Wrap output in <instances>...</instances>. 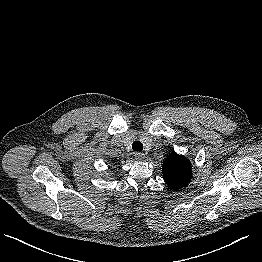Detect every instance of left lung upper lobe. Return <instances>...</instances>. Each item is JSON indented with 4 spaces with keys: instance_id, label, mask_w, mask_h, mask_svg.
<instances>
[{
    "instance_id": "1",
    "label": "left lung upper lobe",
    "mask_w": 262,
    "mask_h": 262,
    "mask_svg": "<svg viewBox=\"0 0 262 262\" xmlns=\"http://www.w3.org/2000/svg\"><path fill=\"white\" fill-rule=\"evenodd\" d=\"M164 181L173 191L188 185L191 179L190 161L183 155L172 152L162 165Z\"/></svg>"
}]
</instances>
